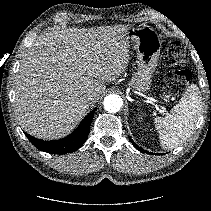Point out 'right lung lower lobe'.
I'll return each instance as SVG.
<instances>
[{
	"label": "right lung lower lobe",
	"instance_id": "obj_1",
	"mask_svg": "<svg viewBox=\"0 0 211 211\" xmlns=\"http://www.w3.org/2000/svg\"><path fill=\"white\" fill-rule=\"evenodd\" d=\"M96 109L92 110L67 137L55 141H44L26 134L30 142L39 150L50 154H65L78 150L86 141Z\"/></svg>",
	"mask_w": 211,
	"mask_h": 211
}]
</instances>
